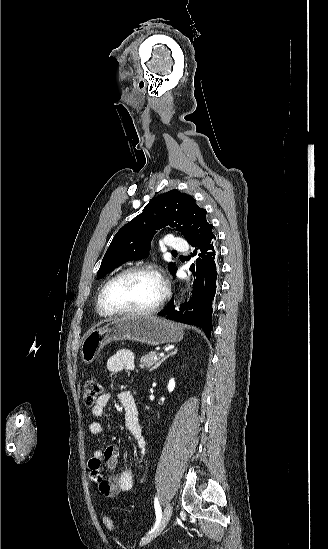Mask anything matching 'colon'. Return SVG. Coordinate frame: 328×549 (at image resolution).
I'll return each instance as SVG.
<instances>
[{
  "label": "colon",
  "mask_w": 328,
  "mask_h": 549,
  "mask_svg": "<svg viewBox=\"0 0 328 549\" xmlns=\"http://www.w3.org/2000/svg\"><path fill=\"white\" fill-rule=\"evenodd\" d=\"M102 391H103V387L98 381L88 380L84 384V390H83V399H84L85 405L92 406L93 404H95L98 398L101 396ZM103 523L107 530L109 531L115 530V523L110 517H104Z\"/></svg>",
  "instance_id": "colon-1"
}]
</instances>
